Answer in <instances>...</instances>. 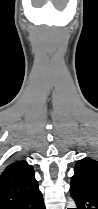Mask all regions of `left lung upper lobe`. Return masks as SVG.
Returning a JSON list of instances; mask_svg holds the SVG:
<instances>
[{"mask_svg": "<svg viewBox=\"0 0 98 209\" xmlns=\"http://www.w3.org/2000/svg\"><path fill=\"white\" fill-rule=\"evenodd\" d=\"M71 185L98 196V161L89 157L79 160L74 167Z\"/></svg>", "mask_w": 98, "mask_h": 209, "instance_id": "1", "label": "left lung upper lobe"}]
</instances>
